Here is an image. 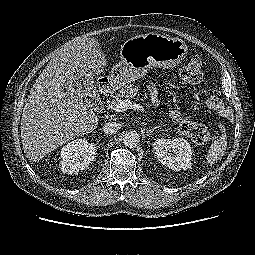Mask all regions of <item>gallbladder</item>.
<instances>
[{"mask_svg":"<svg viewBox=\"0 0 255 255\" xmlns=\"http://www.w3.org/2000/svg\"><path fill=\"white\" fill-rule=\"evenodd\" d=\"M75 87L86 97H95L97 92L96 82L92 76L83 69H79L75 73Z\"/></svg>","mask_w":255,"mask_h":255,"instance_id":"gallbladder-1","label":"gallbladder"}]
</instances>
